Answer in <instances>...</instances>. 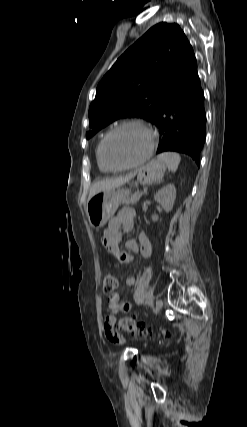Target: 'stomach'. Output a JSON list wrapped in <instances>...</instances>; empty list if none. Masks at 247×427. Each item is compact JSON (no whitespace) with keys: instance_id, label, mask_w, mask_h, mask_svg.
Masks as SVG:
<instances>
[{"instance_id":"0dacf381","label":"stomach","mask_w":247,"mask_h":427,"mask_svg":"<svg viewBox=\"0 0 247 427\" xmlns=\"http://www.w3.org/2000/svg\"><path fill=\"white\" fill-rule=\"evenodd\" d=\"M165 170L164 163L153 160L138 170L137 180L144 185L158 182L163 178ZM129 195V190L121 188L97 192L88 200L86 206L90 225L96 229L103 227Z\"/></svg>"}]
</instances>
